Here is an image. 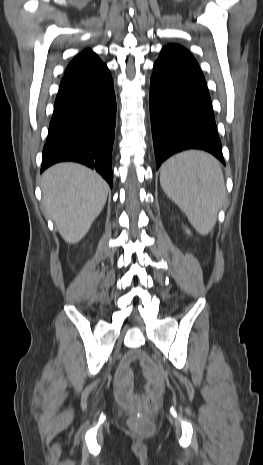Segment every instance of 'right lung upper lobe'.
Returning a JSON list of instances; mask_svg holds the SVG:
<instances>
[{
  "instance_id": "1",
  "label": "right lung upper lobe",
  "mask_w": 263,
  "mask_h": 465,
  "mask_svg": "<svg viewBox=\"0 0 263 465\" xmlns=\"http://www.w3.org/2000/svg\"><path fill=\"white\" fill-rule=\"evenodd\" d=\"M105 66L91 50H85L77 55L68 65L64 76L95 70Z\"/></svg>"
}]
</instances>
